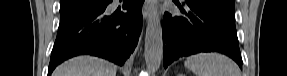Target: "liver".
<instances>
[{
	"label": "liver",
	"instance_id": "obj_1",
	"mask_svg": "<svg viewBox=\"0 0 287 76\" xmlns=\"http://www.w3.org/2000/svg\"><path fill=\"white\" fill-rule=\"evenodd\" d=\"M117 67L98 57L78 56L64 62L53 76H116Z\"/></svg>",
	"mask_w": 287,
	"mask_h": 76
}]
</instances>
